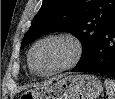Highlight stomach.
Returning a JSON list of instances; mask_svg holds the SVG:
<instances>
[{
	"mask_svg": "<svg viewBox=\"0 0 115 99\" xmlns=\"http://www.w3.org/2000/svg\"><path fill=\"white\" fill-rule=\"evenodd\" d=\"M103 90L100 80L93 75H70L52 85L27 90L24 99H97Z\"/></svg>",
	"mask_w": 115,
	"mask_h": 99,
	"instance_id": "0dacf381",
	"label": "stomach"
}]
</instances>
